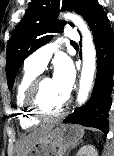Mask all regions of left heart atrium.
Instances as JSON below:
<instances>
[{
    "label": "left heart atrium",
    "mask_w": 114,
    "mask_h": 156,
    "mask_svg": "<svg viewBox=\"0 0 114 156\" xmlns=\"http://www.w3.org/2000/svg\"><path fill=\"white\" fill-rule=\"evenodd\" d=\"M52 80L59 93L68 98L75 80L74 65L69 58L61 57L55 62Z\"/></svg>",
    "instance_id": "obj_1"
}]
</instances>
